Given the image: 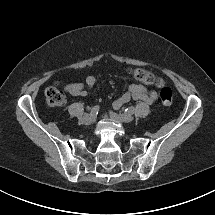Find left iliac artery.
<instances>
[{"mask_svg": "<svg viewBox=\"0 0 215 215\" xmlns=\"http://www.w3.org/2000/svg\"><path fill=\"white\" fill-rule=\"evenodd\" d=\"M124 111L126 114H133L135 111V108L134 107H128Z\"/></svg>", "mask_w": 215, "mask_h": 215, "instance_id": "left-iliac-artery-1", "label": "left iliac artery"}]
</instances>
